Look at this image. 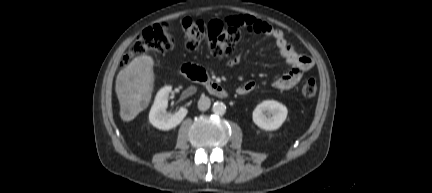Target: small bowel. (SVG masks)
Returning <instances> with one entry per match:
<instances>
[{
	"instance_id": "small-bowel-1",
	"label": "small bowel",
	"mask_w": 432,
	"mask_h": 193,
	"mask_svg": "<svg viewBox=\"0 0 432 193\" xmlns=\"http://www.w3.org/2000/svg\"><path fill=\"white\" fill-rule=\"evenodd\" d=\"M227 23L244 28L250 33L263 34L273 38L279 56L284 60L288 71L276 79L273 87L277 90H289L296 86L304 74L313 66V59L306 55L298 53L293 46L286 40L282 30L273 27L271 24L257 19L250 15L232 16L227 19ZM241 61V56L237 55L229 59L228 67H234ZM255 89L253 81H246L236 89L237 94L246 95Z\"/></svg>"
}]
</instances>
